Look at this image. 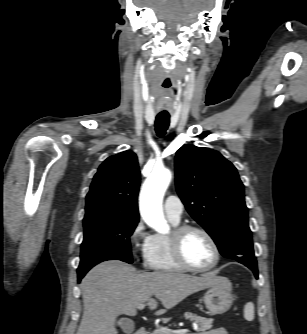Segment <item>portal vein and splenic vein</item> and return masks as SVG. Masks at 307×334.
<instances>
[{
  "label": "portal vein and splenic vein",
  "instance_id": "obj_1",
  "mask_svg": "<svg viewBox=\"0 0 307 334\" xmlns=\"http://www.w3.org/2000/svg\"><path fill=\"white\" fill-rule=\"evenodd\" d=\"M144 308H145V304H139L137 306L138 310H142ZM160 330H162L165 334H186L187 332H189L188 329L170 330L164 327H161Z\"/></svg>",
  "mask_w": 307,
  "mask_h": 334
}]
</instances>
